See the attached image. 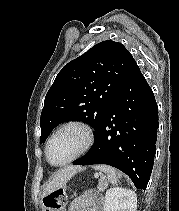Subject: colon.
<instances>
[{
	"instance_id": "obj_1",
	"label": "colon",
	"mask_w": 179,
	"mask_h": 211,
	"mask_svg": "<svg viewBox=\"0 0 179 211\" xmlns=\"http://www.w3.org/2000/svg\"><path fill=\"white\" fill-rule=\"evenodd\" d=\"M66 201V193L63 190H56L44 198V205L46 211H60Z\"/></svg>"
}]
</instances>
